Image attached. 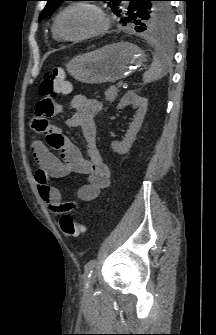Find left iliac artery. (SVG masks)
Returning <instances> with one entry per match:
<instances>
[{"instance_id": "44dca946", "label": "left iliac artery", "mask_w": 216, "mask_h": 335, "mask_svg": "<svg viewBox=\"0 0 216 335\" xmlns=\"http://www.w3.org/2000/svg\"><path fill=\"white\" fill-rule=\"evenodd\" d=\"M95 264H96V260L92 259L85 265V272H84L83 279H84V283L86 286H87V282L89 278L91 277Z\"/></svg>"}]
</instances>
